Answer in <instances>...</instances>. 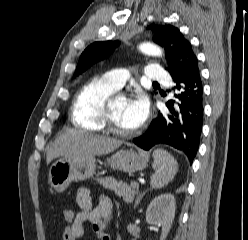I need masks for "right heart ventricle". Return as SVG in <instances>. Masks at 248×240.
Returning a JSON list of instances; mask_svg holds the SVG:
<instances>
[{
	"label": "right heart ventricle",
	"instance_id": "e07e8e85",
	"mask_svg": "<svg viewBox=\"0 0 248 240\" xmlns=\"http://www.w3.org/2000/svg\"><path fill=\"white\" fill-rule=\"evenodd\" d=\"M116 90L103 77L90 80L74 99L71 113L72 124L87 131H103L102 111L105 102Z\"/></svg>",
	"mask_w": 248,
	"mask_h": 240
}]
</instances>
